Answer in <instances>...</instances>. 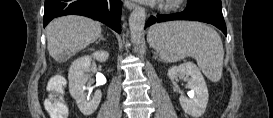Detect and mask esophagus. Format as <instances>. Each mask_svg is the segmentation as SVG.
Instances as JSON below:
<instances>
[{"label":"esophagus","mask_w":273,"mask_h":118,"mask_svg":"<svg viewBox=\"0 0 273 118\" xmlns=\"http://www.w3.org/2000/svg\"><path fill=\"white\" fill-rule=\"evenodd\" d=\"M124 5H125V7H127L130 10L134 9L137 6L136 3L132 2V1H129V0H125Z\"/></svg>","instance_id":"obj_1"}]
</instances>
